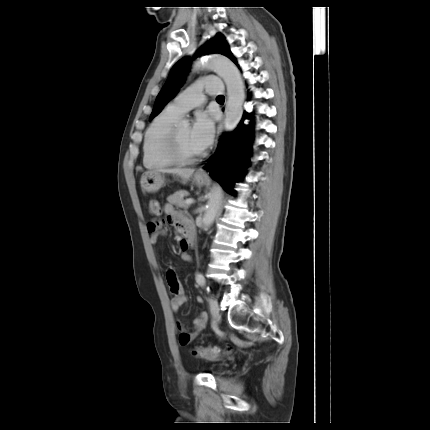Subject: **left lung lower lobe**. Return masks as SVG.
I'll return each mask as SVG.
<instances>
[{"mask_svg":"<svg viewBox=\"0 0 430 430\" xmlns=\"http://www.w3.org/2000/svg\"><path fill=\"white\" fill-rule=\"evenodd\" d=\"M244 119H250L246 112L237 130L221 137L217 151L206 166L210 176L222 182L224 189L232 194L236 192L231 184L239 179L244 172L243 168L247 167L252 144V127L245 125Z\"/></svg>","mask_w":430,"mask_h":430,"instance_id":"left-lung-lower-lobe-1","label":"left lung lower lobe"}]
</instances>
